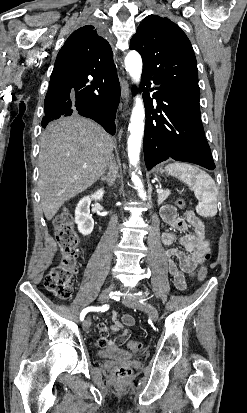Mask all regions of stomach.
<instances>
[{
  "mask_svg": "<svg viewBox=\"0 0 247 413\" xmlns=\"http://www.w3.org/2000/svg\"><path fill=\"white\" fill-rule=\"evenodd\" d=\"M167 174H171V172H169V170H167Z\"/></svg>",
  "mask_w": 247,
  "mask_h": 413,
  "instance_id": "0dacf381",
  "label": "stomach"
}]
</instances>
